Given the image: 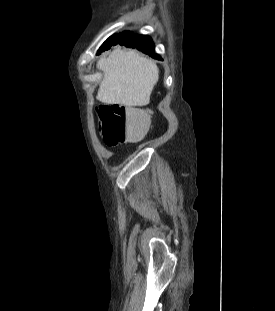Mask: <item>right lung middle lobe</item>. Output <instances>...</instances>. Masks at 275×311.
Returning <instances> with one entry per match:
<instances>
[{
    "label": "right lung middle lobe",
    "instance_id": "obj_1",
    "mask_svg": "<svg viewBox=\"0 0 275 311\" xmlns=\"http://www.w3.org/2000/svg\"><path fill=\"white\" fill-rule=\"evenodd\" d=\"M133 35L132 32H123L122 34H116L111 37H109L103 45L100 47L98 54H100L102 51L109 49L111 46L117 45L127 38L131 37Z\"/></svg>",
    "mask_w": 275,
    "mask_h": 311
}]
</instances>
